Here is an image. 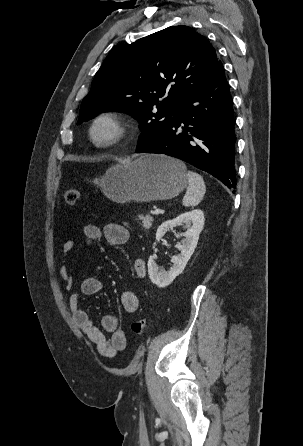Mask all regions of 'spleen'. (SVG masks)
Instances as JSON below:
<instances>
[{"label": "spleen", "instance_id": "obj_1", "mask_svg": "<svg viewBox=\"0 0 303 446\" xmlns=\"http://www.w3.org/2000/svg\"><path fill=\"white\" fill-rule=\"evenodd\" d=\"M189 185L186 194L183 197L182 203L184 206H196L204 197L206 186L201 175L198 173L188 171L187 173Z\"/></svg>", "mask_w": 303, "mask_h": 446}]
</instances>
